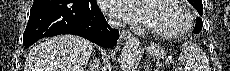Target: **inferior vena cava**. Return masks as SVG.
Listing matches in <instances>:
<instances>
[{
	"label": "inferior vena cava",
	"instance_id": "1",
	"mask_svg": "<svg viewBox=\"0 0 230 71\" xmlns=\"http://www.w3.org/2000/svg\"><path fill=\"white\" fill-rule=\"evenodd\" d=\"M110 25L114 26V27H118L119 24L118 23H115V22H110ZM94 62V61H93Z\"/></svg>",
	"mask_w": 230,
	"mask_h": 71
}]
</instances>
